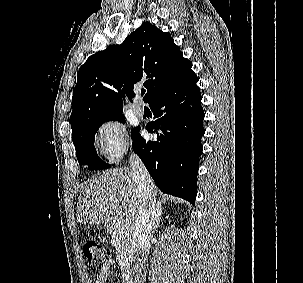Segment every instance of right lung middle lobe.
Here are the masks:
<instances>
[{
	"label": "right lung middle lobe",
	"instance_id": "obj_1",
	"mask_svg": "<svg viewBox=\"0 0 303 283\" xmlns=\"http://www.w3.org/2000/svg\"><path fill=\"white\" fill-rule=\"evenodd\" d=\"M117 120L125 123L124 116H120L110 120ZM91 121L81 125L75 132L72 133L73 143L76 149L77 159L80 165H88L90 170H103L111 167L110 164L103 162L96 152L94 146L95 133L98 128L107 121ZM140 127L134 129L131 133L132 140L139 132Z\"/></svg>",
	"mask_w": 303,
	"mask_h": 283
}]
</instances>
